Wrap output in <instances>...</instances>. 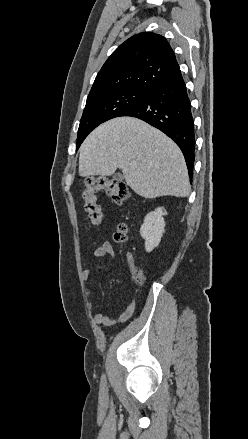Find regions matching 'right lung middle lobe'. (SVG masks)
Returning <instances> with one entry per match:
<instances>
[{"instance_id": "right-lung-middle-lobe-1", "label": "right lung middle lobe", "mask_w": 248, "mask_h": 439, "mask_svg": "<svg viewBox=\"0 0 248 439\" xmlns=\"http://www.w3.org/2000/svg\"><path fill=\"white\" fill-rule=\"evenodd\" d=\"M147 94L144 91L126 89L88 100L80 120L76 150L99 124L120 116L139 103Z\"/></svg>"}]
</instances>
